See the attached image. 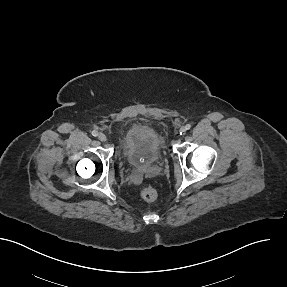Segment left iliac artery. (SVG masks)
<instances>
[{
	"mask_svg": "<svg viewBox=\"0 0 287 287\" xmlns=\"http://www.w3.org/2000/svg\"><path fill=\"white\" fill-rule=\"evenodd\" d=\"M190 128H191V125L190 124H186L185 129L189 130Z\"/></svg>",
	"mask_w": 287,
	"mask_h": 287,
	"instance_id": "left-iliac-artery-1",
	"label": "left iliac artery"
}]
</instances>
